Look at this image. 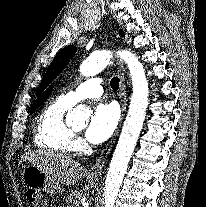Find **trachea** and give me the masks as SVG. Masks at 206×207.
I'll list each match as a JSON object with an SVG mask.
<instances>
[{"instance_id":"obj_1","label":"trachea","mask_w":206,"mask_h":207,"mask_svg":"<svg viewBox=\"0 0 206 207\" xmlns=\"http://www.w3.org/2000/svg\"><path fill=\"white\" fill-rule=\"evenodd\" d=\"M110 85H111V88L113 90H115V91L118 90V88H119V78L118 77H113L111 79Z\"/></svg>"}]
</instances>
